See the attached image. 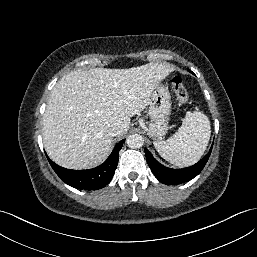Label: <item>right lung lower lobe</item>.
<instances>
[{"mask_svg":"<svg viewBox=\"0 0 257 257\" xmlns=\"http://www.w3.org/2000/svg\"><path fill=\"white\" fill-rule=\"evenodd\" d=\"M123 142L124 140H121L115 145L112 153L104 163L89 170L66 169L47 158L56 174L68 185L81 190H98L111 181L118 164L119 151Z\"/></svg>","mask_w":257,"mask_h":257,"instance_id":"1","label":"right lung lower lobe"}]
</instances>
